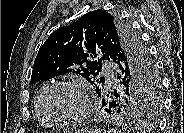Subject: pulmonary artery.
Instances as JSON below:
<instances>
[{"label": "pulmonary artery", "instance_id": "pulmonary-artery-1", "mask_svg": "<svg viewBox=\"0 0 184 133\" xmlns=\"http://www.w3.org/2000/svg\"><path fill=\"white\" fill-rule=\"evenodd\" d=\"M111 67H112V65L107 63L104 70H103V74H104L108 83H111L114 81V74L111 70Z\"/></svg>", "mask_w": 184, "mask_h": 133}]
</instances>
